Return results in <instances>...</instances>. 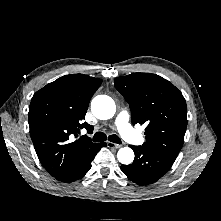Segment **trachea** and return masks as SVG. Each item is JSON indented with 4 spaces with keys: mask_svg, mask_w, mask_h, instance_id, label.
<instances>
[{
    "mask_svg": "<svg viewBox=\"0 0 221 221\" xmlns=\"http://www.w3.org/2000/svg\"><path fill=\"white\" fill-rule=\"evenodd\" d=\"M107 140V136L106 134H104L103 132H97L94 134L93 136V141L94 142H103ZM108 140L113 142V143H117L120 144L121 140L117 135H109Z\"/></svg>",
    "mask_w": 221,
    "mask_h": 221,
    "instance_id": "3493384b",
    "label": "trachea"
}]
</instances>
